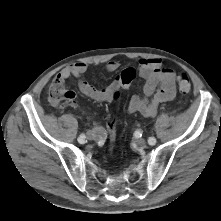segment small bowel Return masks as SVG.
<instances>
[{
    "instance_id": "1",
    "label": "small bowel",
    "mask_w": 221,
    "mask_h": 221,
    "mask_svg": "<svg viewBox=\"0 0 221 221\" xmlns=\"http://www.w3.org/2000/svg\"><path fill=\"white\" fill-rule=\"evenodd\" d=\"M117 61H109L106 64L108 72H115L119 68ZM88 70L85 62L73 63L62 69L54 78V81L64 83L70 77L78 78L79 91L86 97L96 102H108L114 100L115 91L127 88L136 77L134 68L125 69L113 82L103 88H96L87 82L83 75ZM138 74L144 79L143 94L133 95L128 103L127 110L130 113H140L145 117L156 115L160 104L175 99L177 88L175 84V73L170 66L163 65L157 58H143L139 62ZM123 80H129L128 85H123ZM72 104L74 101H69ZM98 137L103 136L100 127L95 128Z\"/></svg>"
}]
</instances>
